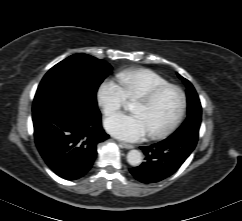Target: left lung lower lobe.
Masks as SVG:
<instances>
[{
  "instance_id": "1",
  "label": "left lung lower lobe",
  "mask_w": 242,
  "mask_h": 221,
  "mask_svg": "<svg viewBox=\"0 0 242 221\" xmlns=\"http://www.w3.org/2000/svg\"><path fill=\"white\" fill-rule=\"evenodd\" d=\"M198 134H172L167 139L143 146L145 162L130 169L142 183H156L174 174L194 150Z\"/></svg>"
}]
</instances>
